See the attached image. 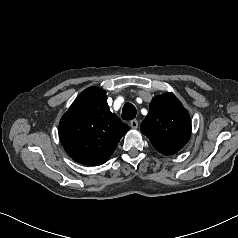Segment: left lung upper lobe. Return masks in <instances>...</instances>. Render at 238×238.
Here are the masks:
<instances>
[{
	"label": "left lung upper lobe",
	"mask_w": 238,
	"mask_h": 238,
	"mask_svg": "<svg viewBox=\"0 0 238 238\" xmlns=\"http://www.w3.org/2000/svg\"><path fill=\"white\" fill-rule=\"evenodd\" d=\"M140 128L159 152L171 155L188 142L191 121L180 101L172 93H166L152 99Z\"/></svg>",
	"instance_id": "obj_1"
}]
</instances>
